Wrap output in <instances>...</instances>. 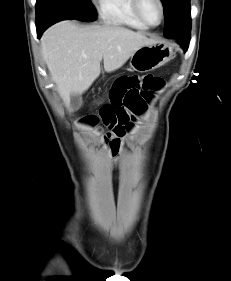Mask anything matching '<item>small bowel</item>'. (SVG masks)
<instances>
[{
	"label": "small bowel",
	"mask_w": 231,
	"mask_h": 281,
	"mask_svg": "<svg viewBox=\"0 0 231 281\" xmlns=\"http://www.w3.org/2000/svg\"><path fill=\"white\" fill-rule=\"evenodd\" d=\"M164 80L154 74H124L117 77L108 92L109 101L103 104L98 115H91L82 121L95 125L101 121L109 131L105 138L109 140L113 155L119 153L121 138L145 114L154 93L161 90Z\"/></svg>",
	"instance_id": "1"
}]
</instances>
